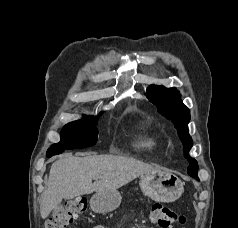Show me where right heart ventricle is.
<instances>
[{"label": "right heart ventricle", "mask_w": 238, "mask_h": 228, "mask_svg": "<svg viewBox=\"0 0 238 228\" xmlns=\"http://www.w3.org/2000/svg\"><path fill=\"white\" fill-rule=\"evenodd\" d=\"M160 144L159 136L152 130L150 125L143 123L141 133L137 139L136 146L142 150L156 149Z\"/></svg>", "instance_id": "e07e8e85"}]
</instances>
